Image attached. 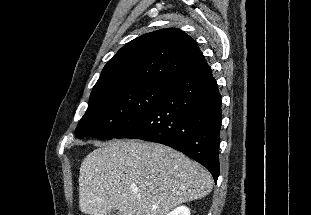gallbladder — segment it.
Listing matches in <instances>:
<instances>
[{
  "mask_svg": "<svg viewBox=\"0 0 311 215\" xmlns=\"http://www.w3.org/2000/svg\"><path fill=\"white\" fill-rule=\"evenodd\" d=\"M107 215H121L117 209H112Z\"/></svg>",
  "mask_w": 311,
  "mask_h": 215,
  "instance_id": "gallbladder-1",
  "label": "gallbladder"
}]
</instances>
